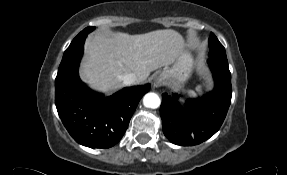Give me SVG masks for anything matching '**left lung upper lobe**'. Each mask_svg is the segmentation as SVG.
<instances>
[{
    "instance_id": "obj_1",
    "label": "left lung upper lobe",
    "mask_w": 287,
    "mask_h": 175,
    "mask_svg": "<svg viewBox=\"0 0 287 175\" xmlns=\"http://www.w3.org/2000/svg\"><path fill=\"white\" fill-rule=\"evenodd\" d=\"M209 48H210L209 57L227 61L225 48L213 33H211L209 38Z\"/></svg>"
}]
</instances>
